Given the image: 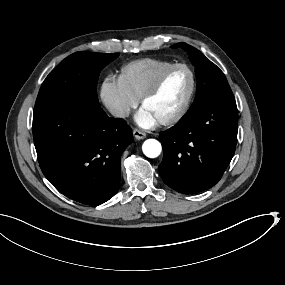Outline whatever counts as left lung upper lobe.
<instances>
[{"label": "left lung upper lobe", "instance_id": "1", "mask_svg": "<svg viewBox=\"0 0 285 285\" xmlns=\"http://www.w3.org/2000/svg\"><path fill=\"white\" fill-rule=\"evenodd\" d=\"M172 47L187 50L197 77V96L191 108L215 99H234L224 73L196 48L181 42Z\"/></svg>", "mask_w": 285, "mask_h": 285}]
</instances>
